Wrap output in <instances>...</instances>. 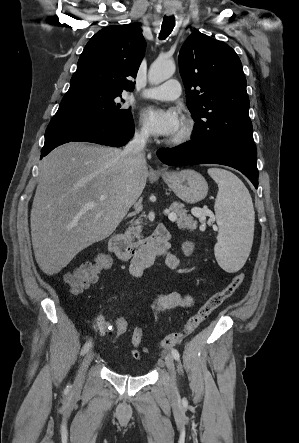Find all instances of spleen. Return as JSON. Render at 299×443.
<instances>
[{"mask_svg":"<svg viewBox=\"0 0 299 443\" xmlns=\"http://www.w3.org/2000/svg\"><path fill=\"white\" fill-rule=\"evenodd\" d=\"M208 174L218 185L214 205L219 226L215 257L222 269L237 272L251 250L255 222L252 198L243 182L233 173L211 168Z\"/></svg>","mask_w":299,"mask_h":443,"instance_id":"3e777b00","label":"spleen"}]
</instances>
